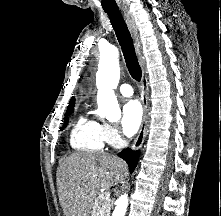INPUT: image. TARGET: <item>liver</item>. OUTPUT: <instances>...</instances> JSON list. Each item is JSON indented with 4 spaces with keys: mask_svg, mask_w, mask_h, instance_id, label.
Instances as JSON below:
<instances>
[{
    "mask_svg": "<svg viewBox=\"0 0 221 216\" xmlns=\"http://www.w3.org/2000/svg\"><path fill=\"white\" fill-rule=\"evenodd\" d=\"M127 164L107 153L78 152L67 157L58 170L57 186L64 216H89L98 189L121 183Z\"/></svg>",
    "mask_w": 221,
    "mask_h": 216,
    "instance_id": "obj_1",
    "label": "liver"
}]
</instances>
